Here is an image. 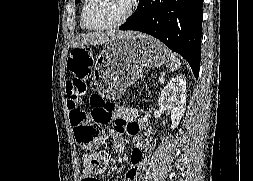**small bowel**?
I'll return each mask as SVG.
<instances>
[{
    "instance_id": "1",
    "label": "small bowel",
    "mask_w": 253,
    "mask_h": 181,
    "mask_svg": "<svg viewBox=\"0 0 253 181\" xmlns=\"http://www.w3.org/2000/svg\"><path fill=\"white\" fill-rule=\"evenodd\" d=\"M92 61L88 53H80L79 71L75 74L73 84L76 90L87 93L86 80L91 70ZM136 112L127 107H120L114 113V128L111 137L117 146L120 145L119 139L125 134L134 137L135 148L131 154V165L125 176L119 181H135L136 176L144 160L143 150L147 149V144L140 135L139 125L135 121ZM114 163L110 162L109 166ZM82 181H97L91 170L84 168L82 171Z\"/></svg>"
}]
</instances>
